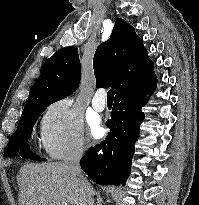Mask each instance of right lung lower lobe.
Instances as JSON below:
<instances>
[{
    "label": "right lung lower lobe",
    "instance_id": "right-lung-lower-lobe-1",
    "mask_svg": "<svg viewBox=\"0 0 199 205\" xmlns=\"http://www.w3.org/2000/svg\"><path fill=\"white\" fill-rule=\"evenodd\" d=\"M154 71L136 78L115 96L110 133L106 139L91 147L81 159L82 170L100 185H125L130 174L134 144L140 135L144 119L141 108L156 88Z\"/></svg>",
    "mask_w": 199,
    "mask_h": 205
}]
</instances>
